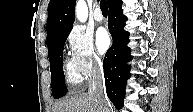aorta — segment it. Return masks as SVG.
<instances>
[{
    "label": "aorta",
    "mask_w": 193,
    "mask_h": 112,
    "mask_svg": "<svg viewBox=\"0 0 193 112\" xmlns=\"http://www.w3.org/2000/svg\"><path fill=\"white\" fill-rule=\"evenodd\" d=\"M88 16V8L84 0H79L76 5V17L80 22H85Z\"/></svg>",
    "instance_id": "aorta-1"
}]
</instances>
